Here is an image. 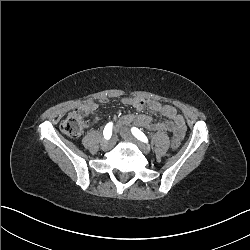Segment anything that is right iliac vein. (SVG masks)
Here are the masks:
<instances>
[{
  "instance_id": "1",
  "label": "right iliac vein",
  "mask_w": 250,
  "mask_h": 250,
  "mask_svg": "<svg viewBox=\"0 0 250 250\" xmlns=\"http://www.w3.org/2000/svg\"><path fill=\"white\" fill-rule=\"evenodd\" d=\"M116 137H113L111 140H103L102 148L103 149H111L115 145Z\"/></svg>"
}]
</instances>
